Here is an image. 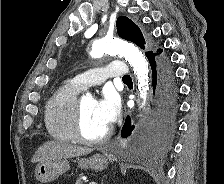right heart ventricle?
I'll use <instances>...</instances> for the list:
<instances>
[{
	"instance_id": "1",
	"label": "right heart ventricle",
	"mask_w": 224,
	"mask_h": 184,
	"mask_svg": "<svg viewBox=\"0 0 224 184\" xmlns=\"http://www.w3.org/2000/svg\"><path fill=\"white\" fill-rule=\"evenodd\" d=\"M79 91L72 82H67L49 98L45 107V126L53 139L75 141L72 123Z\"/></svg>"
}]
</instances>
